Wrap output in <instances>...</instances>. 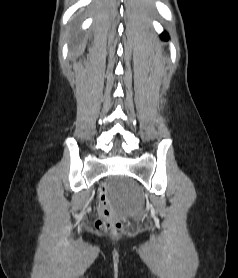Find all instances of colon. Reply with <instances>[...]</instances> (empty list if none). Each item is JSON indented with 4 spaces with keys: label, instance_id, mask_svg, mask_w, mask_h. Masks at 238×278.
<instances>
[{
    "label": "colon",
    "instance_id": "1",
    "mask_svg": "<svg viewBox=\"0 0 238 278\" xmlns=\"http://www.w3.org/2000/svg\"><path fill=\"white\" fill-rule=\"evenodd\" d=\"M100 217L95 222V229L98 233L104 235H120L122 233V224L110 208L108 204L109 186L107 183H102L98 186Z\"/></svg>",
    "mask_w": 238,
    "mask_h": 278
}]
</instances>
